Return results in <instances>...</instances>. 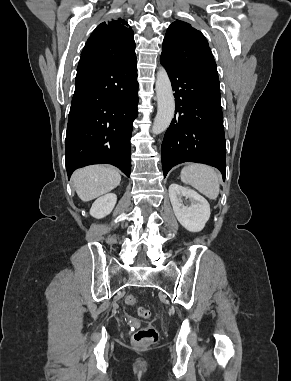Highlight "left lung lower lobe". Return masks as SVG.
<instances>
[{"instance_id": "1", "label": "left lung lower lobe", "mask_w": 291, "mask_h": 381, "mask_svg": "<svg viewBox=\"0 0 291 381\" xmlns=\"http://www.w3.org/2000/svg\"><path fill=\"white\" fill-rule=\"evenodd\" d=\"M175 91V115L161 146L164 177L182 162L218 168L225 179L226 141L220 84L195 77L160 57Z\"/></svg>"}]
</instances>
